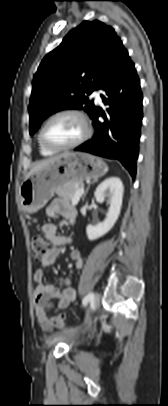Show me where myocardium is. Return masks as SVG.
<instances>
[{"instance_id": "1", "label": "myocardium", "mask_w": 168, "mask_h": 406, "mask_svg": "<svg viewBox=\"0 0 168 406\" xmlns=\"http://www.w3.org/2000/svg\"><path fill=\"white\" fill-rule=\"evenodd\" d=\"M62 115H74V116L78 117L83 124L84 131H83L82 135L73 143L64 145V146H56V145L49 143L46 140L45 129L52 120H54L55 118L62 116ZM91 133H92V127H91L89 118L83 111L76 109V108H65V109L55 112L44 122V124L42 125V127L39 131L38 136H39V140H40L41 144L45 148L52 150V151H64V150H69V149H73V148L80 146L91 136Z\"/></svg>"}]
</instances>
